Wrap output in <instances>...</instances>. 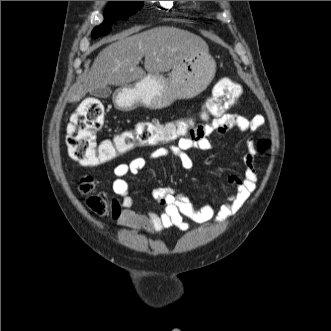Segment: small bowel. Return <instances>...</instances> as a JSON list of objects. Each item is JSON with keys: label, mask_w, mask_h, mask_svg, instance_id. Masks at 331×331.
Listing matches in <instances>:
<instances>
[{"label": "small bowel", "mask_w": 331, "mask_h": 331, "mask_svg": "<svg viewBox=\"0 0 331 331\" xmlns=\"http://www.w3.org/2000/svg\"><path fill=\"white\" fill-rule=\"evenodd\" d=\"M264 121V117L260 114L246 118L239 113H227L211 119L206 124L195 126L188 135L179 138L174 144L156 149L148 158L137 157L116 165L113 169L112 189L121 198L123 207L118 217L119 224L147 232H157L173 226L186 231L189 229L186 219L201 224L222 223L235 215L256 188L257 173L254 167L256 149L251 141L248 142V153L244 157V175L228 176V182L234 191L226 195V202L223 204H218L215 199H212L208 204L196 206L185 195L178 194L169 187H160L154 190V197L160 204L161 211L140 213L134 210V200L125 178L129 174L135 175L144 169L150 160L165 156H172L182 166L187 167L191 164L188 151H210L213 148L212 135L222 136L234 128L242 132L256 131L264 124Z\"/></svg>", "instance_id": "c3829d8e"}]
</instances>
